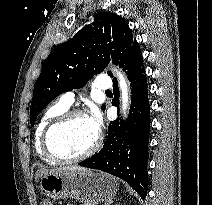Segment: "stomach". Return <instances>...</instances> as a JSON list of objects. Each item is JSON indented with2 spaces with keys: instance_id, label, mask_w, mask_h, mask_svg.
<instances>
[{
  "instance_id": "0dacf381",
  "label": "stomach",
  "mask_w": 212,
  "mask_h": 205,
  "mask_svg": "<svg viewBox=\"0 0 212 205\" xmlns=\"http://www.w3.org/2000/svg\"><path fill=\"white\" fill-rule=\"evenodd\" d=\"M118 188L119 184L114 177L91 170H62L45 174L40 180L41 192L50 198H73L93 205L111 201Z\"/></svg>"
}]
</instances>
